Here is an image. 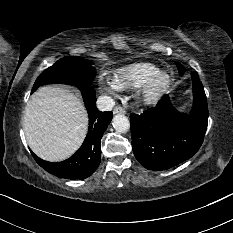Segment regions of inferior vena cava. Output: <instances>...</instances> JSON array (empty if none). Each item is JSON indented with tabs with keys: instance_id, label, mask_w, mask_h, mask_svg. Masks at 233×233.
I'll return each instance as SVG.
<instances>
[{
	"instance_id": "1",
	"label": "inferior vena cava",
	"mask_w": 233,
	"mask_h": 233,
	"mask_svg": "<svg viewBox=\"0 0 233 233\" xmlns=\"http://www.w3.org/2000/svg\"><path fill=\"white\" fill-rule=\"evenodd\" d=\"M114 106L115 101L109 96L103 95L97 99V108L100 111H110Z\"/></svg>"
}]
</instances>
